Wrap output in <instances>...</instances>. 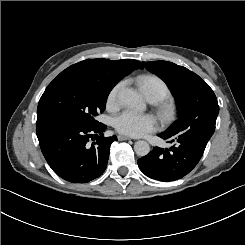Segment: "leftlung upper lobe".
I'll use <instances>...</instances> for the list:
<instances>
[{"instance_id":"obj_1","label":"left lung upper lobe","mask_w":245,"mask_h":245,"mask_svg":"<svg viewBox=\"0 0 245 245\" xmlns=\"http://www.w3.org/2000/svg\"><path fill=\"white\" fill-rule=\"evenodd\" d=\"M145 68L159 76L169 87L178 109L179 119L166 131L183 129L192 118L205 112L219 113L217 98L212 89L195 73L167 61L144 63Z\"/></svg>"}]
</instances>
